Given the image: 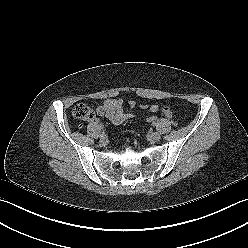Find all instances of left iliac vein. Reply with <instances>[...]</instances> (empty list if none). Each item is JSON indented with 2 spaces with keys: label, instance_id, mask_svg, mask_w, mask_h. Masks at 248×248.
Wrapping results in <instances>:
<instances>
[{
  "label": "left iliac vein",
  "instance_id": "left-iliac-vein-1",
  "mask_svg": "<svg viewBox=\"0 0 248 248\" xmlns=\"http://www.w3.org/2000/svg\"><path fill=\"white\" fill-rule=\"evenodd\" d=\"M150 138L156 142L160 140L161 135L158 132H153L151 133Z\"/></svg>",
  "mask_w": 248,
  "mask_h": 248
}]
</instances>
